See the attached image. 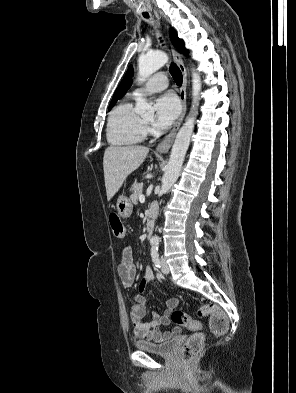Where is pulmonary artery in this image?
Segmentation results:
<instances>
[{
    "instance_id": "1",
    "label": "pulmonary artery",
    "mask_w": 296,
    "mask_h": 393,
    "mask_svg": "<svg viewBox=\"0 0 296 393\" xmlns=\"http://www.w3.org/2000/svg\"><path fill=\"white\" fill-rule=\"evenodd\" d=\"M168 84H169V80L166 74L157 73L153 75L150 79H148V81L145 83L143 87L134 89L131 95L134 98H139L145 94L162 91L168 87Z\"/></svg>"
}]
</instances>
